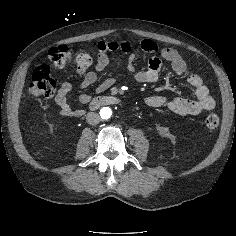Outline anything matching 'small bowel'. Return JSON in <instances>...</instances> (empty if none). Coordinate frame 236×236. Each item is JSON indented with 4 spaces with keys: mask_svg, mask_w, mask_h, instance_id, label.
<instances>
[{
    "mask_svg": "<svg viewBox=\"0 0 236 236\" xmlns=\"http://www.w3.org/2000/svg\"><path fill=\"white\" fill-rule=\"evenodd\" d=\"M141 49L149 54L159 53L160 56H152L147 63L146 69L136 70L134 61L135 54L132 51L133 45L129 41H100L97 44V58L92 70L84 72L80 83L81 89L85 90L93 85L100 73L109 65V53L121 52L127 56V67L133 78L139 83H152L158 80L163 65V60L168 61L171 68L177 75H184L187 72V65L179 53L172 48L160 49L158 45L150 40L144 39L139 42ZM187 83L192 87L195 99L182 97L167 98L162 95H151L146 97L145 103L149 107H167L170 111L181 116L198 115L203 111L212 110L216 102L210 95L207 86L197 74L187 75ZM116 82L114 77H109L101 82L96 91L104 92L111 88ZM72 90L70 82H63L55 96V103L59 107L60 114L65 117H80L83 115L82 109L73 108L67 99L68 93ZM90 100L88 94H81L79 101L83 104Z\"/></svg>",
    "mask_w": 236,
    "mask_h": 236,
    "instance_id": "obj_1",
    "label": "small bowel"
}]
</instances>
